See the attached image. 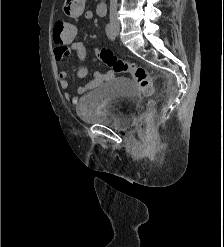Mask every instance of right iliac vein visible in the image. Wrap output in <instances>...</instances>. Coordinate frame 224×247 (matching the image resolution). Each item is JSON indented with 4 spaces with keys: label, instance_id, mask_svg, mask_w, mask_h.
I'll return each instance as SVG.
<instances>
[{
    "label": "right iliac vein",
    "instance_id": "63e3f726",
    "mask_svg": "<svg viewBox=\"0 0 224 247\" xmlns=\"http://www.w3.org/2000/svg\"><path fill=\"white\" fill-rule=\"evenodd\" d=\"M114 29H115L116 31H118V30H119V27H118V26H114Z\"/></svg>",
    "mask_w": 224,
    "mask_h": 247
}]
</instances>
